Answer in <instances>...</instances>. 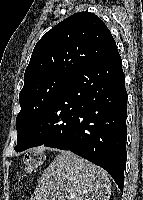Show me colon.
I'll use <instances>...</instances> for the list:
<instances>
[{
	"mask_svg": "<svg viewBox=\"0 0 143 200\" xmlns=\"http://www.w3.org/2000/svg\"><path fill=\"white\" fill-rule=\"evenodd\" d=\"M44 161V154L41 151L32 150L24 155L23 171L24 175L36 171Z\"/></svg>",
	"mask_w": 143,
	"mask_h": 200,
	"instance_id": "5ec220e1",
	"label": "colon"
}]
</instances>
